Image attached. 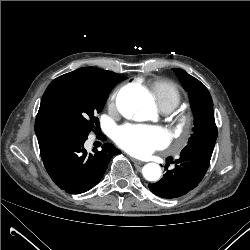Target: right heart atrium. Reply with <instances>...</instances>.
I'll use <instances>...</instances> for the list:
<instances>
[{"instance_id":"1","label":"right heart atrium","mask_w":250,"mask_h":250,"mask_svg":"<svg viewBox=\"0 0 250 250\" xmlns=\"http://www.w3.org/2000/svg\"><path fill=\"white\" fill-rule=\"evenodd\" d=\"M114 101H115V94H113V95L109 98V105H110V106H114Z\"/></svg>"}]
</instances>
